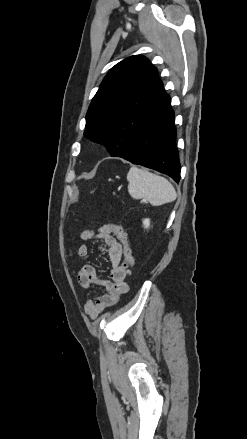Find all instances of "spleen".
I'll use <instances>...</instances> for the list:
<instances>
[{
  "mask_svg": "<svg viewBox=\"0 0 247 439\" xmlns=\"http://www.w3.org/2000/svg\"><path fill=\"white\" fill-rule=\"evenodd\" d=\"M128 192L134 199H143L152 206H161L173 202L176 191L164 177L138 167H131L127 174Z\"/></svg>",
  "mask_w": 247,
  "mask_h": 439,
  "instance_id": "obj_1",
  "label": "spleen"
}]
</instances>
